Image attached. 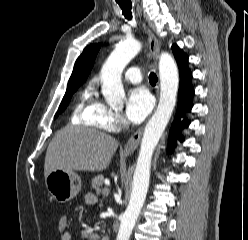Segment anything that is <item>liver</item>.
I'll list each match as a JSON object with an SVG mask.
<instances>
[{"mask_svg":"<svg viewBox=\"0 0 248 240\" xmlns=\"http://www.w3.org/2000/svg\"><path fill=\"white\" fill-rule=\"evenodd\" d=\"M117 148V140L106 133L84 127H65L56 133L47 148L45 178L57 169L103 171Z\"/></svg>","mask_w":248,"mask_h":240,"instance_id":"1","label":"liver"}]
</instances>
